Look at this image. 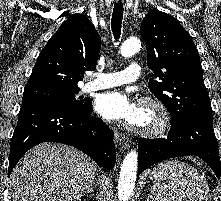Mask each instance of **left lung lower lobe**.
I'll return each instance as SVG.
<instances>
[{"instance_id": "0a47b994", "label": "left lung lower lobe", "mask_w": 221, "mask_h": 201, "mask_svg": "<svg viewBox=\"0 0 221 201\" xmlns=\"http://www.w3.org/2000/svg\"><path fill=\"white\" fill-rule=\"evenodd\" d=\"M195 155L203 159L219 178L221 165L218 143L213 131V118L193 115L171 124L167 138L138 140V174L162 160Z\"/></svg>"}]
</instances>
